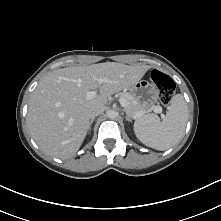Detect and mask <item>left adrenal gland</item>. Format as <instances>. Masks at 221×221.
<instances>
[{"label":"left adrenal gland","instance_id":"obj_1","mask_svg":"<svg viewBox=\"0 0 221 221\" xmlns=\"http://www.w3.org/2000/svg\"><path fill=\"white\" fill-rule=\"evenodd\" d=\"M125 119H126L127 121H129V122L132 121L128 114H126Z\"/></svg>","mask_w":221,"mask_h":221}]
</instances>
